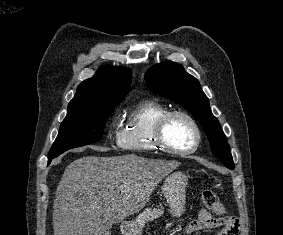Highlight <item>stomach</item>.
<instances>
[{"mask_svg":"<svg viewBox=\"0 0 283 235\" xmlns=\"http://www.w3.org/2000/svg\"><path fill=\"white\" fill-rule=\"evenodd\" d=\"M187 175L181 171H175L166 175L162 185V192L170 207L173 216H181L185 211ZM123 235H140L141 231L134 222H125L121 226Z\"/></svg>","mask_w":283,"mask_h":235,"instance_id":"stomach-1","label":"stomach"}]
</instances>
